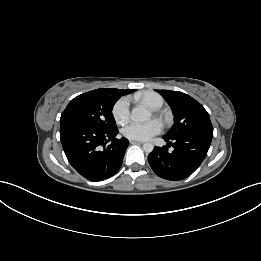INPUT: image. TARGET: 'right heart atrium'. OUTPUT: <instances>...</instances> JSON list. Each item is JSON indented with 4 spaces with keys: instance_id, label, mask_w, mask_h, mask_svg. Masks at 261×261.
I'll return each instance as SVG.
<instances>
[{
    "instance_id": "1",
    "label": "right heart atrium",
    "mask_w": 261,
    "mask_h": 261,
    "mask_svg": "<svg viewBox=\"0 0 261 261\" xmlns=\"http://www.w3.org/2000/svg\"><path fill=\"white\" fill-rule=\"evenodd\" d=\"M130 102L128 97L120 98L112 108V115L117 124H125L129 119Z\"/></svg>"
}]
</instances>
